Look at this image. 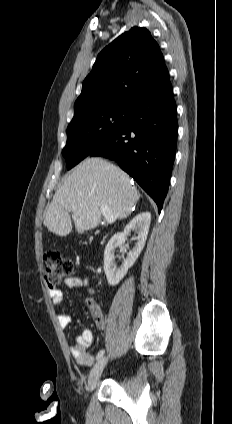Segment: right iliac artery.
Returning a JSON list of instances; mask_svg holds the SVG:
<instances>
[{"instance_id":"obj_1","label":"right iliac artery","mask_w":232,"mask_h":424,"mask_svg":"<svg viewBox=\"0 0 232 424\" xmlns=\"http://www.w3.org/2000/svg\"><path fill=\"white\" fill-rule=\"evenodd\" d=\"M104 352V350H100L96 356V360H99L103 356Z\"/></svg>"}]
</instances>
